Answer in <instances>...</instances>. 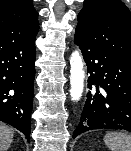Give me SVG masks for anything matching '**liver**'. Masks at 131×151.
I'll list each match as a JSON object with an SVG mask.
<instances>
[{
	"label": "liver",
	"mask_w": 131,
	"mask_h": 151,
	"mask_svg": "<svg viewBox=\"0 0 131 151\" xmlns=\"http://www.w3.org/2000/svg\"><path fill=\"white\" fill-rule=\"evenodd\" d=\"M13 141V131L0 123V151H7Z\"/></svg>",
	"instance_id": "obj_1"
}]
</instances>
